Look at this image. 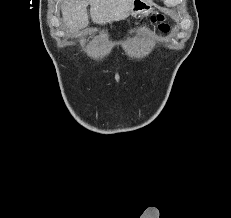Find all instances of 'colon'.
<instances>
[{
    "instance_id": "colon-1",
    "label": "colon",
    "mask_w": 231,
    "mask_h": 218,
    "mask_svg": "<svg viewBox=\"0 0 231 218\" xmlns=\"http://www.w3.org/2000/svg\"><path fill=\"white\" fill-rule=\"evenodd\" d=\"M150 23L157 26V28L161 32H167L169 30V26L165 22V19L162 15H157V16L151 17Z\"/></svg>"
}]
</instances>
